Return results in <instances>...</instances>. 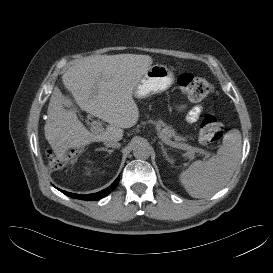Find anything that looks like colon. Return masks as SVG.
Returning <instances> with one entry per match:
<instances>
[{
    "label": "colon",
    "mask_w": 273,
    "mask_h": 273,
    "mask_svg": "<svg viewBox=\"0 0 273 273\" xmlns=\"http://www.w3.org/2000/svg\"><path fill=\"white\" fill-rule=\"evenodd\" d=\"M177 83L182 93L192 100H200L209 96L213 89L212 84L207 79L191 73L180 74ZM223 135V124L216 116L207 114L202 118L199 130V141L201 144L209 145L216 143L223 137ZM64 165V160L51 157V169L57 170L62 168Z\"/></svg>",
    "instance_id": "5ec220e1"
}]
</instances>
